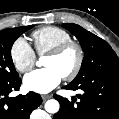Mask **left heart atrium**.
Returning <instances> with one entry per match:
<instances>
[{
    "mask_svg": "<svg viewBox=\"0 0 119 119\" xmlns=\"http://www.w3.org/2000/svg\"><path fill=\"white\" fill-rule=\"evenodd\" d=\"M62 75L54 68L46 67L39 70H34L24 77V87L37 93H48L57 87Z\"/></svg>",
    "mask_w": 119,
    "mask_h": 119,
    "instance_id": "obj_1",
    "label": "left heart atrium"
}]
</instances>
